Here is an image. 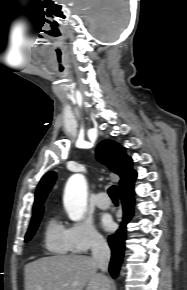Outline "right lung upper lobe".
Here are the masks:
<instances>
[{
	"mask_svg": "<svg viewBox=\"0 0 187 290\" xmlns=\"http://www.w3.org/2000/svg\"><path fill=\"white\" fill-rule=\"evenodd\" d=\"M97 159L105 164L112 172L121 177L119 181V196L132 195L134 180L137 177L136 171L132 169V159L126 155L125 148L112 140H103L96 150ZM56 179L55 172L47 173L40 181L33 207L34 220L40 214H43V203L47 193L50 191Z\"/></svg>",
	"mask_w": 187,
	"mask_h": 290,
	"instance_id": "right-lung-upper-lobe-1",
	"label": "right lung upper lobe"
}]
</instances>
